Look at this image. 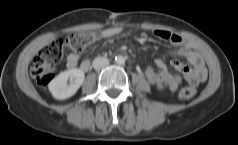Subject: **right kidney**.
Listing matches in <instances>:
<instances>
[{"mask_svg": "<svg viewBox=\"0 0 238 145\" xmlns=\"http://www.w3.org/2000/svg\"><path fill=\"white\" fill-rule=\"evenodd\" d=\"M84 79V71L73 68L57 75L50 81L48 88L55 99L64 100L73 96L78 91Z\"/></svg>", "mask_w": 238, "mask_h": 145, "instance_id": "right-kidney-1", "label": "right kidney"}]
</instances>
